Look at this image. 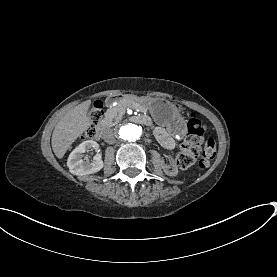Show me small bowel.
<instances>
[{"instance_id":"small-bowel-1","label":"small bowel","mask_w":277,"mask_h":277,"mask_svg":"<svg viewBox=\"0 0 277 277\" xmlns=\"http://www.w3.org/2000/svg\"><path fill=\"white\" fill-rule=\"evenodd\" d=\"M185 134V128L179 127L176 130V137H182ZM155 136L162 144V146L168 150H172L175 147V139L174 137L167 132L164 128L158 127L155 129Z\"/></svg>"}]
</instances>
